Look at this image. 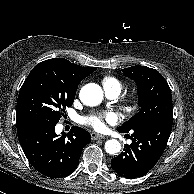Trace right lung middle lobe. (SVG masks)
I'll return each instance as SVG.
<instances>
[{
    "label": "right lung middle lobe",
    "instance_id": "1",
    "mask_svg": "<svg viewBox=\"0 0 194 194\" xmlns=\"http://www.w3.org/2000/svg\"><path fill=\"white\" fill-rule=\"evenodd\" d=\"M76 88L47 65H36L24 81L17 100V124L37 121L57 124L72 106Z\"/></svg>",
    "mask_w": 194,
    "mask_h": 194
}]
</instances>
